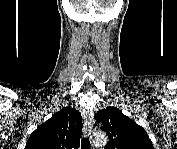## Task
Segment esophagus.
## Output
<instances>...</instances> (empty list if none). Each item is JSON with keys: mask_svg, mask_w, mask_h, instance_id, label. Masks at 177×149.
<instances>
[{"mask_svg": "<svg viewBox=\"0 0 177 149\" xmlns=\"http://www.w3.org/2000/svg\"><path fill=\"white\" fill-rule=\"evenodd\" d=\"M93 124V116L91 114H88L83 122V133L86 137H89L91 135Z\"/></svg>", "mask_w": 177, "mask_h": 149, "instance_id": "obj_1", "label": "esophagus"}]
</instances>
